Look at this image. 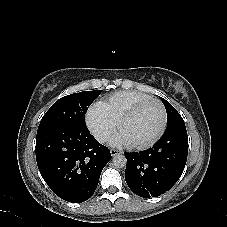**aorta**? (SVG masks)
<instances>
[{
  "mask_svg": "<svg viewBox=\"0 0 227 227\" xmlns=\"http://www.w3.org/2000/svg\"><path fill=\"white\" fill-rule=\"evenodd\" d=\"M113 165L117 169L124 168L127 164V159L124 155L122 154H116L113 159H112Z\"/></svg>",
  "mask_w": 227,
  "mask_h": 227,
  "instance_id": "1",
  "label": "aorta"
}]
</instances>
